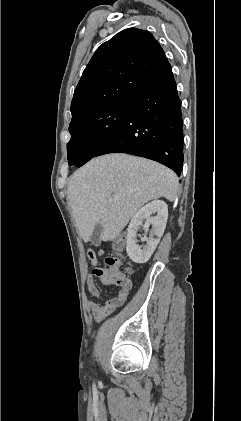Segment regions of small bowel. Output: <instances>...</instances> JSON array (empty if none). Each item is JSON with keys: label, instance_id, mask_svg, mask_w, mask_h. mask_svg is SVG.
Wrapping results in <instances>:
<instances>
[{"label": "small bowel", "instance_id": "obj_1", "mask_svg": "<svg viewBox=\"0 0 241 421\" xmlns=\"http://www.w3.org/2000/svg\"><path fill=\"white\" fill-rule=\"evenodd\" d=\"M102 254H103V251L101 250L99 251H95L93 249L87 250V256L93 266H96L98 264V256ZM101 281L105 285H112V283L110 282H107L104 280H101ZM85 283L91 295L94 296L98 300H102L100 291L95 283L94 278L91 275L87 276ZM119 286H120V289L113 298L106 300L103 303L95 302V301L87 302V306L89 310L91 311L93 318L96 321H101L102 319H104L108 314L112 313L115 309L123 305L125 301L127 300L129 291L132 286L131 281L128 280L125 285H119Z\"/></svg>", "mask_w": 241, "mask_h": 421}]
</instances>
